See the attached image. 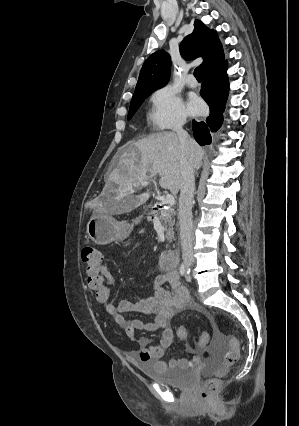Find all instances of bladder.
Returning <instances> with one entry per match:
<instances>
[{
	"mask_svg": "<svg viewBox=\"0 0 299 426\" xmlns=\"http://www.w3.org/2000/svg\"><path fill=\"white\" fill-rule=\"evenodd\" d=\"M138 366L147 378L181 390L191 388L197 380L195 370L190 368L168 367L159 369L148 362H138Z\"/></svg>",
	"mask_w": 299,
	"mask_h": 426,
	"instance_id": "bladder-1",
	"label": "bladder"
}]
</instances>
